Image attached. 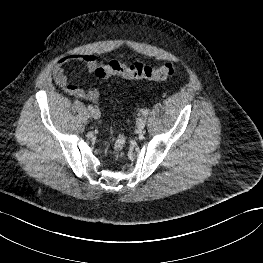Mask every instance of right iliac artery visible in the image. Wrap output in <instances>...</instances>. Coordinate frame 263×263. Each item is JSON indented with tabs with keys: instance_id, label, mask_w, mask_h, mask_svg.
<instances>
[{
	"instance_id": "right-iliac-artery-1",
	"label": "right iliac artery",
	"mask_w": 263,
	"mask_h": 263,
	"mask_svg": "<svg viewBox=\"0 0 263 263\" xmlns=\"http://www.w3.org/2000/svg\"><path fill=\"white\" fill-rule=\"evenodd\" d=\"M88 110L92 111V110H93V106H92V105H89V106H88Z\"/></svg>"
}]
</instances>
